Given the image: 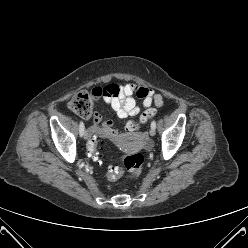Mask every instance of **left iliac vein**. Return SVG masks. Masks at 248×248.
<instances>
[{"label":"left iliac vein","instance_id":"1","mask_svg":"<svg viewBox=\"0 0 248 248\" xmlns=\"http://www.w3.org/2000/svg\"><path fill=\"white\" fill-rule=\"evenodd\" d=\"M149 133H150L151 136H154L155 135V129L151 128Z\"/></svg>","mask_w":248,"mask_h":248}]
</instances>
